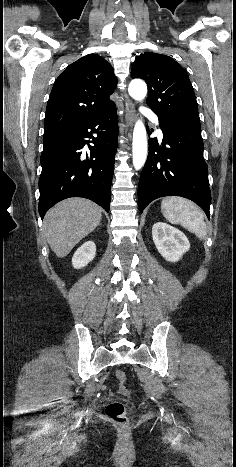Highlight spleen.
<instances>
[{
    "label": "spleen",
    "mask_w": 236,
    "mask_h": 467,
    "mask_svg": "<svg viewBox=\"0 0 236 467\" xmlns=\"http://www.w3.org/2000/svg\"><path fill=\"white\" fill-rule=\"evenodd\" d=\"M164 217L172 224H181L200 239L206 235L204 215L191 201L181 197H169L161 202Z\"/></svg>",
    "instance_id": "3e777b00"
}]
</instances>
